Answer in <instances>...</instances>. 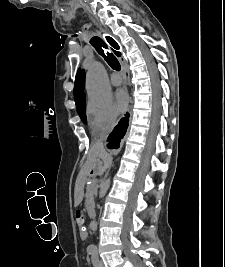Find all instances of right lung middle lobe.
<instances>
[{"label": "right lung middle lobe", "instance_id": "1", "mask_svg": "<svg viewBox=\"0 0 225 267\" xmlns=\"http://www.w3.org/2000/svg\"><path fill=\"white\" fill-rule=\"evenodd\" d=\"M85 109H86V105H85V102H83L82 105L77 109V111H78V114L81 120L86 124L87 119H86Z\"/></svg>", "mask_w": 225, "mask_h": 267}]
</instances>
